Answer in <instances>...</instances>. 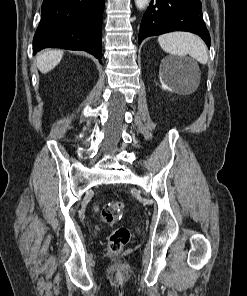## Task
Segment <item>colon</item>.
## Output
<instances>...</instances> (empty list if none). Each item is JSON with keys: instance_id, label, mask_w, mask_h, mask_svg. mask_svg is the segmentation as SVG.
I'll return each mask as SVG.
<instances>
[{"instance_id": "5ec220e1", "label": "colon", "mask_w": 247, "mask_h": 296, "mask_svg": "<svg viewBox=\"0 0 247 296\" xmlns=\"http://www.w3.org/2000/svg\"><path fill=\"white\" fill-rule=\"evenodd\" d=\"M125 205L126 201H112L105 204L101 209L103 221L112 227L108 240V250L113 254L121 252L130 240V231L128 228L122 226L115 227Z\"/></svg>"}]
</instances>
